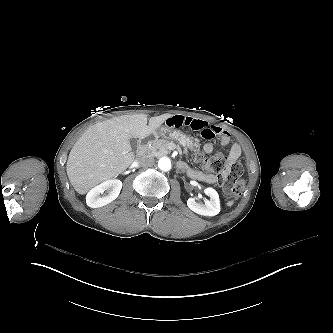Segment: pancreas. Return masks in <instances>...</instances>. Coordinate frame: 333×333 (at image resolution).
Listing matches in <instances>:
<instances>
[{
	"mask_svg": "<svg viewBox=\"0 0 333 333\" xmlns=\"http://www.w3.org/2000/svg\"><path fill=\"white\" fill-rule=\"evenodd\" d=\"M169 143L170 141L166 139H158L152 142L151 145H149L146 155L152 156V157H162L169 154L171 151L169 149Z\"/></svg>",
	"mask_w": 333,
	"mask_h": 333,
	"instance_id": "obj_1",
	"label": "pancreas"
}]
</instances>
